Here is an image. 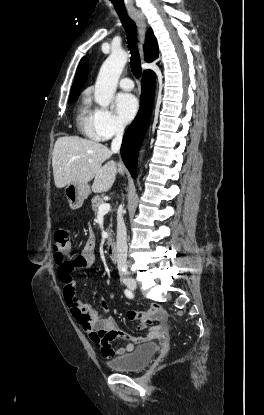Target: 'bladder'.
<instances>
[{
  "instance_id": "bladder-1",
  "label": "bladder",
  "mask_w": 264,
  "mask_h": 415,
  "mask_svg": "<svg viewBox=\"0 0 264 415\" xmlns=\"http://www.w3.org/2000/svg\"><path fill=\"white\" fill-rule=\"evenodd\" d=\"M155 343H147L137 347L131 353L110 359L106 364L113 371H138L146 368L157 352Z\"/></svg>"
}]
</instances>
